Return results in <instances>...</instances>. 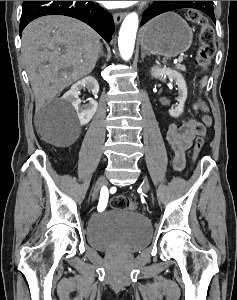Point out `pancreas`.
<instances>
[{
	"instance_id": "obj_1",
	"label": "pancreas",
	"mask_w": 237,
	"mask_h": 300,
	"mask_svg": "<svg viewBox=\"0 0 237 300\" xmlns=\"http://www.w3.org/2000/svg\"><path fill=\"white\" fill-rule=\"evenodd\" d=\"M176 69H182V71H185L184 65H179V63L176 65Z\"/></svg>"
}]
</instances>
